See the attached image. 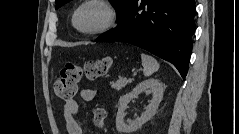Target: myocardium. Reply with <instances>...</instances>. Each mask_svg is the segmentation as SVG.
Returning <instances> with one entry per match:
<instances>
[{"instance_id": "myocardium-1", "label": "myocardium", "mask_w": 239, "mask_h": 134, "mask_svg": "<svg viewBox=\"0 0 239 134\" xmlns=\"http://www.w3.org/2000/svg\"><path fill=\"white\" fill-rule=\"evenodd\" d=\"M89 6H96V7L101 8L104 11L105 18L100 26H98L94 29L84 30L78 26L77 17L81 10H83L84 8L89 7ZM116 19H117V14L109 2L103 1V0H88V1L82 2L75 9L73 16H72V24H73L74 28L81 34L96 35V34H100L102 32L107 31L108 29H110L115 24Z\"/></svg>"}]
</instances>
